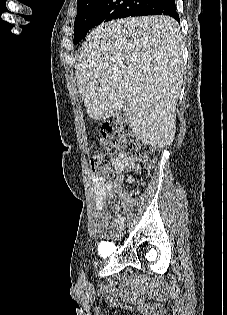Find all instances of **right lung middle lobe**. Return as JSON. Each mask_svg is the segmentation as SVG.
<instances>
[{
	"instance_id": "1",
	"label": "right lung middle lobe",
	"mask_w": 227,
	"mask_h": 315,
	"mask_svg": "<svg viewBox=\"0 0 227 315\" xmlns=\"http://www.w3.org/2000/svg\"><path fill=\"white\" fill-rule=\"evenodd\" d=\"M152 0H78L74 26V44L79 43L87 31L102 22L131 17Z\"/></svg>"
}]
</instances>
